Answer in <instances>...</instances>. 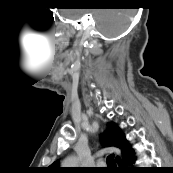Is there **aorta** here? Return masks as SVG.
<instances>
[{"mask_svg": "<svg viewBox=\"0 0 173 173\" xmlns=\"http://www.w3.org/2000/svg\"><path fill=\"white\" fill-rule=\"evenodd\" d=\"M72 163H73L72 160H68V161L66 162V164H72Z\"/></svg>", "mask_w": 173, "mask_h": 173, "instance_id": "aorta-1", "label": "aorta"}]
</instances>
